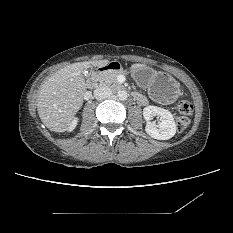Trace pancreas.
<instances>
[{
  "mask_svg": "<svg viewBox=\"0 0 233 233\" xmlns=\"http://www.w3.org/2000/svg\"><path fill=\"white\" fill-rule=\"evenodd\" d=\"M122 72L106 71L100 74L99 80L101 84L111 85L114 87H121V84L117 81V76Z\"/></svg>",
  "mask_w": 233,
  "mask_h": 233,
  "instance_id": "pancreas-1",
  "label": "pancreas"
}]
</instances>
